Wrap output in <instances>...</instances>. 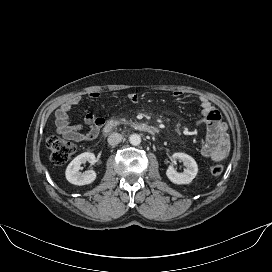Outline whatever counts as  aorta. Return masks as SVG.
Masks as SVG:
<instances>
[{
    "mask_svg": "<svg viewBox=\"0 0 272 272\" xmlns=\"http://www.w3.org/2000/svg\"><path fill=\"white\" fill-rule=\"evenodd\" d=\"M129 142L133 146H138L141 143V137L138 134H132L129 137Z\"/></svg>",
    "mask_w": 272,
    "mask_h": 272,
    "instance_id": "1",
    "label": "aorta"
}]
</instances>
